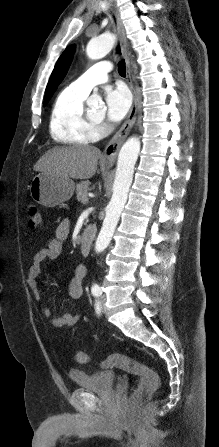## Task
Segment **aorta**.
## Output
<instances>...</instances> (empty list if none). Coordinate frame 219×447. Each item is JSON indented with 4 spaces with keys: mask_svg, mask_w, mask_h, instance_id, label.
Wrapping results in <instances>:
<instances>
[{
    "mask_svg": "<svg viewBox=\"0 0 219 447\" xmlns=\"http://www.w3.org/2000/svg\"><path fill=\"white\" fill-rule=\"evenodd\" d=\"M114 42L115 37L109 32L92 38L86 47L88 58L92 60L103 58L111 51ZM140 147L139 138L130 137L119 151L112 198L106 207V216L95 244V250L98 253L109 245L127 202Z\"/></svg>",
    "mask_w": 219,
    "mask_h": 447,
    "instance_id": "762f6f07",
    "label": "aorta"
}]
</instances>
